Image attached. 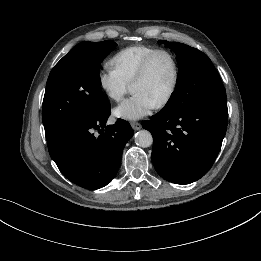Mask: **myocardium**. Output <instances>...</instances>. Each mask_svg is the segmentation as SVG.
Masks as SVG:
<instances>
[{
  "instance_id": "f54148a6",
  "label": "myocardium",
  "mask_w": 261,
  "mask_h": 261,
  "mask_svg": "<svg viewBox=\"0 0 261 261\" xmlns=\"http://www.w3.org/2000/svg\"><path fill=\"white\" fill-rule=\"evenodd\" d=\"M159 55H166L171 60V63L173 66V80H172L171 87H170L168 93L165 95V97L159 103L156 104L157 108H163L166 105H168V103L174 97V95L177 91V88H178L179 77H180V69H179V64H178L177 58L171 51L166 50V49H158V50L152 52L141 64L137 74L135 75V77L133 78V80L131 82V88L135 83L143 80L147 76L152 62Z\"/></svg>"
}]
</instances>
